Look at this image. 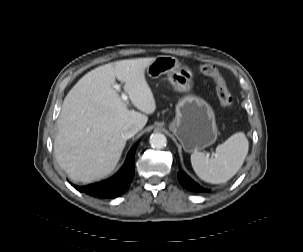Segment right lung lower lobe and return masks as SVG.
Here are the masks:
<instances>
[{
  "label": "right lung lower lobe",
  "instance_id": "98d812e1",
  "mask_svg": "<svg viewBox=\"0 0 303 252\" xmlns=\"http://www.w3.org/2000/svg\"><path fill=\"white\" fill-rule=\"evenodd\" d=\"M135 145L128 153L122 168L113 177L87 186H75L78 191L98 198H114L123 194L129 187L134 176ZM73 185V184H72Z\"/></svg>",
  "mask_w": 303,
  "mask_h": 252
}]
</instances>
